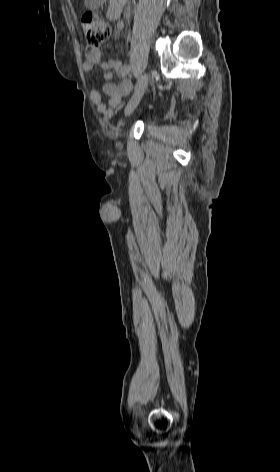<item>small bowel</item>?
Instances as JSON below:
<instances>
[{
    "label": "small bowel",
    "instance_id": "small-bowel-1",
    "mask_svg": "<svg viewBox=\"0 0 280 472\" xmlns=\"http://www.w3.org/2000/svg\"><path fill=\"white\" fill-rule=\"evenodd\" d=\"M119 36V29L114 33L113 38L117 39ZM95 66H99L104 70V80L102 91L106 96V103L102 100L101 93L96 88H91L90 99L96 106L97 110L103 114L105 118H110L113 113V108L118 104L120 97L130 90V83L124 82L122 84H115L111 82L112 72L120 73L122 65L116 60L103 61L100 52H96L92 56H87V59L82 64V69L85 72H90Z\"/></svg>",
    "mask_w": 280,
    "mask_h": 472
}]
</instances>
